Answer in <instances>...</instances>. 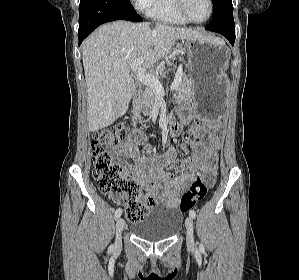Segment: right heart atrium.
Segmentation results:
<instances>
[{"label":"right heart atrium","mask_w":299,"mask_h":280,"mask_svg":"<svg viewBox=\"0 0 299 280\" xmlns=\"http://www.w3.org/2000/svg\"><path fill=\"white\" fill-rule=\"evenodd\" d=\"M132 5L141 12H147L153 0H130Z\"/></svg>","instance_id":"right-heart-atrium-1"}]
</instances>
